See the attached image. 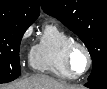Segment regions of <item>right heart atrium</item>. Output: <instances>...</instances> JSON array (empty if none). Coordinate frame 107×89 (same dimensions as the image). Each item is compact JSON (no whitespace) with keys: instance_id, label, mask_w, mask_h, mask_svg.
I'll use <instances>...</instances> for the list:
<instances>
[{"instance_id":"d8ad5b80","label":"right heart atrium","mask_w":107,"mask_h":89,"mask_svg":"<svg viewBox=\"0 0 107 89\" xmlns=\"http://www.w3.org/2000/svg\"><path fill=\"white\" fill-rule=\"evenodd\" d=\"M29 35H30V31H27V32L23 35L21 44H23V43L26 41V39L29 37Z\"/></svg>"}]
</instances>
